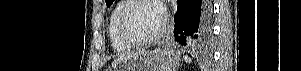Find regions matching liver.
<instances>
[{
	"mask_svg": "<svg viewBox=\"0 0 301 71\" xmlns=\"http://www.w3.org/2000/svg\"><path fill=\"white\" fill-rule=\"evenodd\" d=\"M141 52H142V51H139V52H136V53H132V54H128V55H121V56L118 57L117 60L114 61L113 64H116V63L120 62V61H121L122 59H124V58L135 57V56H137L138 54H140Z\"/></svg>",
	"mask_w": 301,
	"mask_h": 71,
	"instance_id": "1",
	"label": "liver"
}]
</instances>
